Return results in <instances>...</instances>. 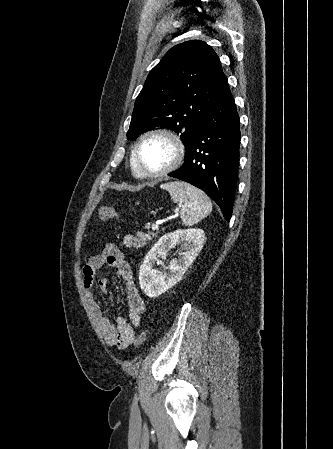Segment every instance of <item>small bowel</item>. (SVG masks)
Masks as SVG:
<instances>
[{"label": "small bowel", "mask_w": 333, "mask_h": 449, "mask_svg": "<svg viewBox=\"0 0 333 449\" xmlns=\"http://www.w3.org/2000/svg\"><path fill=\"white\" fill-rule=\"evenodd\" d=\"M105 265L111 267L117 276L125 282L128 319L124 316H118L115 322L112 323L104 314L100 304L93 295L95 274ZM109 285L110 281L108 278H101L98 281V287L102 292H107ZM83 286L89 307L105 340L119 349H125L133 344L135 341V328L141 324L142 316L145 312V303L134 282L130 265L124 260L122 253L115 244L108 243L99 254L86 257L83 267Z\"/></svg>", "instance_id": "obj_1"}]
</instances>
